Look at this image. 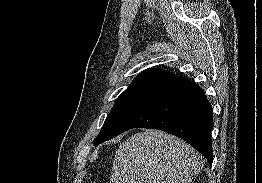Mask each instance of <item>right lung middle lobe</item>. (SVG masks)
I'll list each match as a JSON object with an SVG mask.
<instances>
[{
	"instance_id": "dd1d6c3e",
	"label": "right lung middle lobe",
	"mask_w": 262,
	"mask_h": 183,
	"mask_svg": "<svg viewBox=\"0 0 262 183\" xmlns=\"http://www.w3.org/2000/svg\"><path fill=\"white\" fill-rule=\"evenodd\" d=\"M158 91H137L122 93L107 116L94 145L112 139L123 132L127 124L134 119L153 99Z\"/></svg>"
}]
</instances>
